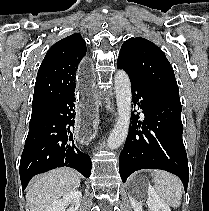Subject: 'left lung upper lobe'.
<instances>
[{"instance_id":"left-lung-upper-lobe-1","label":"left lung upper lobe","mask_w":209,"mask_h":211,"mask_svg":"<svg viewBox=\"0 0 209 211\" xmlns=\"http://www.w3.org/2000/svg\"><path fill=\"white\" fill-rule=\"evenodd\" d=\"M117 62L151 88L179 96L172 66L162 50L151 41L141 37L126 40Z\"/></svg>"}]
</instances>
